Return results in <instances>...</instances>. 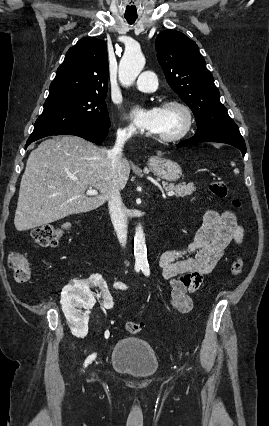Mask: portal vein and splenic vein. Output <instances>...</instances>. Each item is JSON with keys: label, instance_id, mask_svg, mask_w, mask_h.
I'll list each match as a JSON object with an SVG mask.
<instances>
[{"label": "portal vein and splenic vein", "instance_id": "obj_1", "mask_svg": "<svg viewBox=\"0 0 269 426\" xmlns=\"http://www.w3.org/2000/svg\"><path fill=\"white\" fill-rule=\"evenodd\" d=\"M98 194V192L96 191V190H93V189H89L88 191H87V195H90V196H95V195H97ZM173 195H175V193L173 192V191H169L168 193H167V196H173Z\"/></svg>", "mask_w": 269, "mask_h": 426}]
</instances>
